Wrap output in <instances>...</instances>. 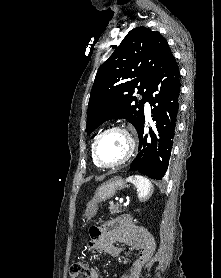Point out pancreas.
<instances>
[{
	"label": "pancreas",
	"instance_id": "pancreas-1",
	"mask_svg": "<svg viewBox=\"0 0 221 278\" xmlns=\"http://www.w3.org/2000/svg\"><path fill=\"white\" fill-rule=\"evenodd\" d=\"M124 209H125V207L122 209V205H119L118 203H116L115 205H113V204L110 205L111 215L122 212Z\"/></svg>",
	"mask_w": 221,
	"mask_h": 278
}]
</instances>
